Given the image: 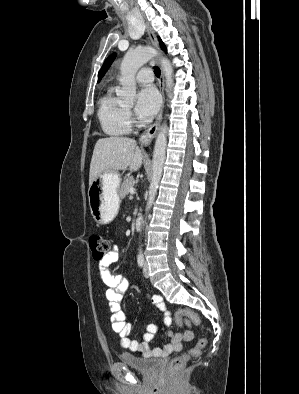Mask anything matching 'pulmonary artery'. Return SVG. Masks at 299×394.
Segmentation results:
<instances>
[{
	"mask_svg": "<svg viewBox=\"0 0 299 394\" xmlns=\"http://www.w3.org/2000/svg\"><path fill=\"white\" fill-rule=\"evenodd\" d=\"M153 72L151 69L149 68H143L141 69L137 75H136V80L139 83H143V84H149L153 81Z\"/></svg>",
	"mask_w": 299,
	"mask_h": 394,
	"instance_id": "pulmonary-artery-1",
	"label": "pulmonary artery"
}]
</instances>
